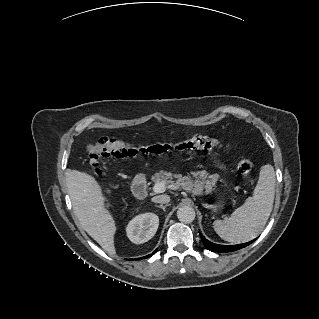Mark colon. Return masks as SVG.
<instances>
[{"label":"colon","mask_w":319,"mask_h":319,"mask_svg":"<svg viewBox=\"0 0 319 319\" xmlns=\"http://www.w3.org/2000/svg\"><path fill=\"white\" fill-rule=\"evenodd\" d=\"M219 146L220 142L217 139L204 136L148 144H136L116 138L103 137L87 147L86 155L92 170L97 174H102L101 160L107 157L127 158L138 154L160 155L171 151L212 150ZM237 169L241 174H248L252 171L253 164L249 160L242 159L238 162Z\"/></svg>","instance_id":"1"}]
</instances>
